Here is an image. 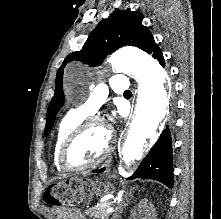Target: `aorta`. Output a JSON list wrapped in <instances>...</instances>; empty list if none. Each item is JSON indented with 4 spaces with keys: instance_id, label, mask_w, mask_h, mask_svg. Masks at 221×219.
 I'll return each mask as SVG.
<instances>
[{
    "instance_id": "1",
    "label": "aorta",
    "mask_w": 221,
    "mask_h": 219,
    "mask_svg": "<svg viewBox=\"0 0 221 219\" xmlns=\"http://www.w3.org/2000/svg\"><path fill=\"white\" fill-rule=\"evenodd\" d=\"M109 63L119 71L136 76L140 82L136 109L121 150L124 169L128 170L135 159L142 158L145 139L155 136L166 117L169 108L166 73L157 60L135 47L118 50L110 57ZM79 76L78 69L67 68L65 85L71 86Z\"/></svg>"
}]
</instances>
